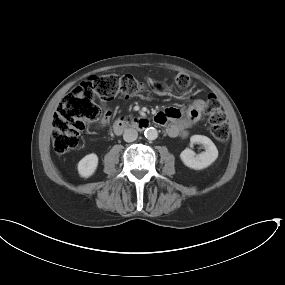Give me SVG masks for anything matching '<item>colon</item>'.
Wrapping results in <instances>:
<instances>
[{
  "mask_svg": "<svg viewBox=\"0 0 285 285\" xmlns=\"http://www.w3.org/2000/svg\"><path fill=\"white\" fill-rule=\"evenodd\" d=\"M174 81L179 88L184 89L188 87L190 78L185 73H178ZM146 90L147 86L140 84L128 74L96 76L74 87L62 100L54 116L52 129L54 151L61 155L78 146L86 122L94 121L100 116L97 100L112 99L117 95L134 96ZM204 111L209 117L213 138L218 142H225L229 137V126L220 101L215 96L209 95L204 103ZM154 122L164 125L166 118L157 114Z\"/></svg>",
  "mask_w": 285,
  "mask_h": 285,
  "instance_id": "obj_1",
  "label": "colon"
}]
</instances>
